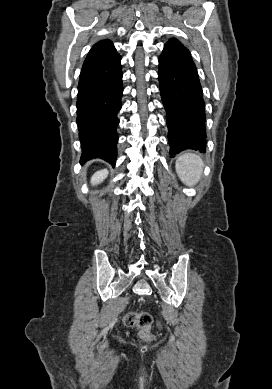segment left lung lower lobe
I'll list each match as a JSON object with an SVG mask.
<instances>
[{
  "instance_id": "0a47b994",
  "label": "left lung lower lobe",
  "mask_w": 272,
  "mask_h": 389,
  "mask_svg": "<svg viewBox=\"0 0 272 389\" xmlns=\"http://www.w3.org/2000/svg\"><path fill=\"white\" fill-rule=\"evenodd\" d=\"M159 87L166 110L170 155L185 149L206 152L205 103L189 52L164 46Z\"/></svg>"
}]
</instances>
